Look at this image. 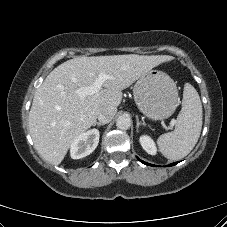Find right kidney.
Returning <instances> with one entry per match:
<instances>
[{"label": "right kidney", "mask_w": 227, "mask_h": 227, "mask_svg": "<svg viewBox=\"0 0 227 227\" xmlns=\"http://www.w3.org/2000/svg\"><path fill=\"white\" fill-rule=\"evenodd\" d=\"M99 136L100 134L97 129L81 133L71 144V158L80 159L91 154L99 143Z\"/></svg>", "instance_id": "ca27d5eb"}]
</instances>
